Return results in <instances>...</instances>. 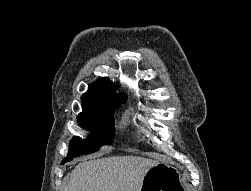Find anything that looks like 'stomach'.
Instances as JSON below:
<instances>
[{"label":"stomach","instance_id":"1","mask_svg":"<svg viewBox=\"0 0 251 191\" xmlns=\"http://www.w3.org/2000/svg\"><path fill=\"white\" fill-rule=\"evenodd\" d=\"M181 173L167 163H156L144 175L141 191H183Z\"/></svg>","mask_w":251,"mask_h":191}]
</instances>
